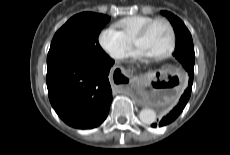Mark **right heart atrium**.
<instances>
[{"instance_id": "d8ad5b80", "label": "right heart atrium", "mask_w": 230, "mask_h": 155, "mask_svg": "<svg viewBox=\"0 0 230 155\" xmlns=\"http://www.w3.org/2000/svg\"><path fill=\"white\" fill-rule=\"evenodd\" d=\"M100 48L112 59H122L130 49L132 42L115 27H105L98 34Z\"/></svg>"}]
</instances>
